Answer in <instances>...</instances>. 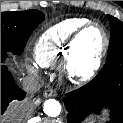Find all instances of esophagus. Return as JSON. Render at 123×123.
Wrapping results in <instances>:
<instances>
[{
    "mask_svg": "<svg viewBox=\"0 0 123 123\" xmlns=\"http://www.w3.org/2000/svg\"><path fill=\"white\" fill-rule=\"evenodd\" d=\"M57 96V92L56 90L54 89H47L45 92H44V97L45 98H49V97H56Z\"/></svg>",
    "mask_w": 123,
    "mask_h": 123,
    "instance_id": "1",
    "label": "esophagus"
}]
</instances>
